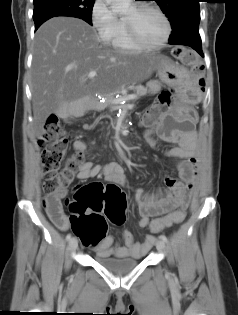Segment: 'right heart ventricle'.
I'll list each match as a JSON object with an SVG mask.
<instances>
[{"label": "right heart ventricle", "mask_w": 238, "mask_h": 315, "mask_svg": "<svg viewBox=\"0 0 238 315\" xmlns=\"http://www.w3.org/2000/svg\"><path fill=\"white\" fill-rule=\"evenodd\" d=\"M107 43L113 49L121 53H134L140 50L137 47H135L128 38L124 17L118 19L117 27L114 30L111 37L109 38V40L107 41Z\"/></svg>", "instance_id": "right-heart-ventricle-1"}]
</instances>
